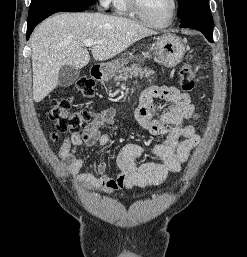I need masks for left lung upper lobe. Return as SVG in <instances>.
<instances>
[{"mask_svg":"<svg viewBox=\"0 0 247 257\" xmlns=\"http://www.w3.org/2000/svg\"><path fill=\"white\" fill-rule=\"evenodd\" d=\"M178 18L184 19L189 16H202L213 19L209 7V0H178Z\"/></svg>","mask_w":247,"mask_h":257,"instance_id":"1","label":"left lung upper lobe"}]
</instances>
